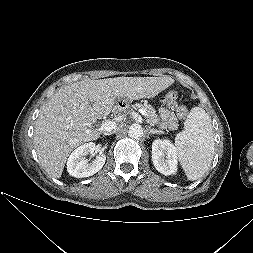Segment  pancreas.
I'll return each mask as SVG.
<instances>
[{
    "mask_svg": "<svg viewBox=\"0 0 253 253\" xmlns=\"http://www.w3.org/2000/svg\"><path fill=\"white\" fill-rule=\"evenodd\" d=\"M132 108L137 110V109H144L146 111V119L147 122L150 125H157L160 122V118L156 114V110L153 108L152 105L147 104V103H136L132 105Z\"/></svg>",
    "mask_w": 253,
    "mask_h": 253,
    "instance_id": "obj_1",
    "label": "pancreas"
}]
</instances>
